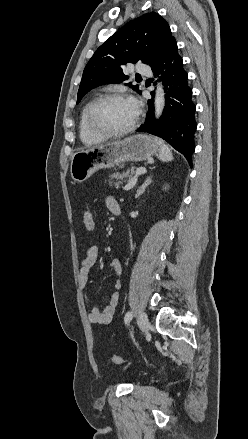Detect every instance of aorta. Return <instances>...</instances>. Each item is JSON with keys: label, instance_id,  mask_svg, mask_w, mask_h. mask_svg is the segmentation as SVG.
Wrapping results in <instances>:
<instances>
[{"label": "aorta", "instance_id": "aorta-1", "mask_svg": "<svg viewBox=\"0 0 248 439\" xmlns=\"http://www.w3.org/2000/svg\"><path fill=\"white\" fill-rule=\"evenodd\" d=\"M165 98L162 84L158 83L156 89V95L154 99L155 116L158 118L162 114L164 108Z\"/></svg>", "mask_w": 248, "mask_h": 439}]
</instances>
